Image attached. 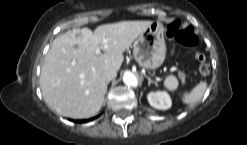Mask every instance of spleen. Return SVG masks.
Wrapping results in <instances>:
<instances>
[{"label":"spleen","instance_id":"3e777b00","mask_svg":"<svg viewBox=\"0 0 247 145\" xmlns=\"http://www.w3.org/2000/svg\"><path fill=\"white\" fill-rule=\"evenodd\" d=\"M164 86L167 88L169 91H173L177 89L178 87V80L175 76L169 75L165 78L164 80ZM207 83L205 81H201L199 84H197L190 93H185L183 96V102L187 105L193 104L197 101H199L206 89H207Z\"/></svg>","mask_w":247,"mask_h":145}]
</instances>
